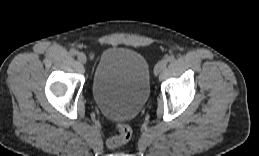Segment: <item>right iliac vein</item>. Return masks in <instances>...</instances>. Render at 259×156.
<instances>
[{"label": "right iliac vein", "mask_w": 259, "mask_h": 156, "mask_svg": "<svg viewBox=\"0 0 259 156\" xmlns=\"http://www.w3.org/2000/svg\"><path fill=\"white\" fill-rule=\"evenodd\" d=\"M77 58H78V60H79L81 63H83V64H85V63L87 62L86 55H85L83 52H79V53L77 54Z\"/></svg>", "instance_id": "1"}]
</instances>
